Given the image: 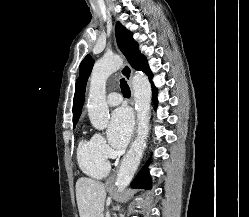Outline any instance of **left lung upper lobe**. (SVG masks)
<instances>
[{"label": "left lung upper lobe", "mask_w": 249, "mask_h": 217, "mask_svg": "<svg viewBox=\"0 0 249 217\" xmlns=\"http://www.w3.org/2000/svg\"><path fill=\"white\" fill-rule=\"evenodd\" d=\"M115 33L117 44L130 65L136 70H140L145 73L149 71L150 69L146 58L139 53L138 44L134 41L132 33L126 30L120 22L116 24ZM93 64L94 60L89 54L82 60L80 64L79 82L82 87L83 96L85 95V86L91 73Z\"/></svg>", "instance_id": "left-lung-upper-lobe-1"}]
</instances>
